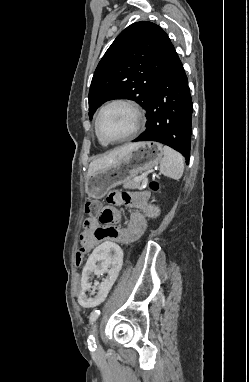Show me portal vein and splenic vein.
I'll return each mask as SVG.
<instances>
[{"label":"portal vein and splenic vein","mask_w":249,"mask_h":382,"mask_svg":"<svg viewBox=\"0 0 249 382\" xmlns=\"http://www.w3.org/2000/svg\"><path fill=\"white\" fill-rule=\"evenodd\" d=\"M149 172H150V171L145 172V173L142 174L140 177L135 178V180H137V181H141V180L145 179V178L147 177V175H148Z\"/></svg>","instance_id":"1"}]
</instances>
